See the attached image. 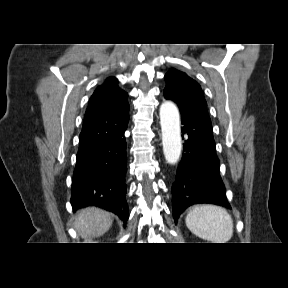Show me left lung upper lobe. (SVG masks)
I'll return each instance as SVG.
<instances>
[{
	"instance_id": "left-lung-upper-lobe-1",
	"label": "left lung upper lobe",
	"mask_w": 288,
	"mask_h": 288,
	"mask_svg": "<svg viewBox=\"0 0 288 288\" xmlns=\"http://www.w3.org/2000/svg\"><path fill=\"white\" fill-rule=\"evenodd\" d=\"M165 79L166 87L163 91L165 98L175 101L180 110H201L208 115L203 91L195 80L176 69L169 70Z\"/></svg>"
}]
</instances>
